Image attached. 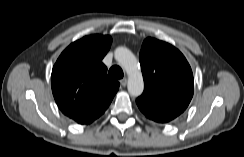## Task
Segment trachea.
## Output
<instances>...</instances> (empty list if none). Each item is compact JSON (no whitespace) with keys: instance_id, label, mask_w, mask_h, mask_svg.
I'll return each mask as SVG.
<instances>
[{"instance_id":"3493384b","label":"trachea","mask_w":244,"mask_h":157,"mask_svg":"<svg viewBox=\"0 0 244 157\" xmlns=\"http://www.w3.org/2000/svg\"><path fill=\"white\" fill-rule=\"evenodd\" d=\"M109 76L114 78V79H121L123 78V70L121 69V67L114 65L110 68L109 72H108Z\"/></svg>"}]
</instances>
